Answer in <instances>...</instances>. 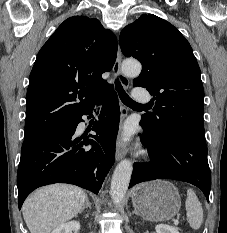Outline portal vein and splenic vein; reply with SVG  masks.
<instances>
[{"mask_svg":"<svg viewBox=\"0 0 227 233\" xmlns=\"http://www.w3.org/2000/svg\"><path fill=\"white\" fill-rule=\"evenodd\" d=\"M173 223H174V226H178L179 219L178 218L173 219Z\"/></svg>","mask_w":227,"mask_h":233,"instance_id":"portal-vein-and-splenic-vein-1","label":"portal vein and splenic vein"}]
</instances>
